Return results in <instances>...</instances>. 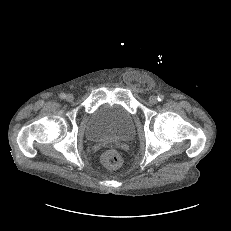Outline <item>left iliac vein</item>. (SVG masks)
<instances>
[{"mask_svg": "<svg viewBox=\"0 0 231 231\" xmlns=\"http://www.w3.org/2000/svg\"><path fill=\"white\" fill-rule=\"evenodd\" d=\"M157 101H158V99H157L156 96H151V97L149 98V102H150L151 104H156Z\"/></svg>", "mask_w": 231, "mask_h": 231, "instance_id": "left-iliac-vein-1", "label": "left iliac vein"}]
</instances>
